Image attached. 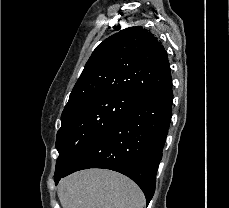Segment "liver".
Listing matches in <instances>:
<instances>
[{"label":"liver","mask_w":229,"mask_h":208,"mask_svg":"<svg viewBox=\"0 0 229 208\" xmlns=\"http://www.w3.org/2000/svg\"><path fill=\"white\" fill-rule=\"evenodd\" d=\"M62 208H144L145 196L132 180L110 170H82L60 180Z\"/></svg>","instance_id":"liver-1"}]
</instances>
